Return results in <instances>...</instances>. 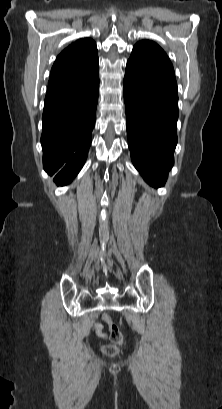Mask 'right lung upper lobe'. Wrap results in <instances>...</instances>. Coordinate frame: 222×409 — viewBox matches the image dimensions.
<instances>
[{
    "mask_svg": "<svg viewBox=\"0 0 222 409\" xmlns=\"http://www.w3.org/2000/svg\"><path fill=\"white\" fill-rule=\"evenodd\" d=\"M96 43L90 38L75 41L56 58L51 69L46 97H57L85 87L86 76L98 71Z\"/></svg>",
    "mask_w": 222,
    "mask_h": 409,
    "instance_id": "1",
    "label": "right lung upper lobe"
}]
</instances>
